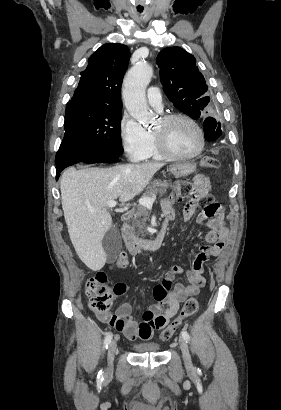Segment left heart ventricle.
<instances>
[{"label":"left heart ventricle","instance_id":"1","mask_svg":"<svg viewBox=\"0 0 281 410\" xmlns=\"http://www.w3.org/2000/svg\"><path fill=\"white\" fill-rule=\"evenodd\" d=\"M154 132L163 136L169 148L176 154H192L200 145L197 130L185 120H176L168 125H164L160 120Z\"/></svg>","mask_w":281,"mask_h":410}]
</instances>
